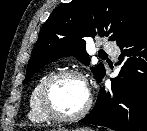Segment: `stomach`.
<instances>
[{"label":"stomach","mask_w":147,"mask_h":131,"mask_svg":"<svg viewBox=\"0 0 147 131\" xmlns=\"http://www.w3.org/2000/svg\"><path fill=\"white\" fill-rule=\"evenodd\" d=\"M52 131H94V130H92V129H90V128H74V129H70V130H68V129H66V128H64V127H62V128H58L57 130H52Z\"/></svg>","instance_id":"1"}]
</instances>
